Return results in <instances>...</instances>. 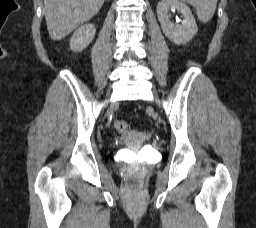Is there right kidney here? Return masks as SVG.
Instances as JSON below:
<instances>
[{
	"instance_id": "1",
	"label": "right kidney",
	"mask_w": 256,
	"mask_h": 228,
	"mask_svg": "<svg viewBox=\"0 0 256 228\" xmlns=\"http://www.w3.org/2000/svg\"><path fill=\"white\" fill-rule=\"evenodd\" d=\"M95 26L93 24H84L80 26L72 35L70 48L74 52L82 51L93 40L95 36Z\"/></svg>"
}]
</instances>
